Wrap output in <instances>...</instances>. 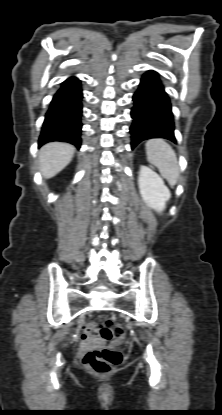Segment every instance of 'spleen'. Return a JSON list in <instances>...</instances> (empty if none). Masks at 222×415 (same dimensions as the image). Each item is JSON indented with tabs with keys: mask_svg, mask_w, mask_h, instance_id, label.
I'll use <instances>...</instances> for the list:
<instances>
[{
	"mask_svg": "<svg viewBox=\"0 0 222 415\" xmlns=\"http://www.w3.org/2000/svg\"><path fill=\"white\" fill-rule=\"evenodd\" d=\"M149 163L156 166L170 186H175L180 174L175 151L163 139H150L145 144Z\"/></svg>",
	"mask_w": 222,
	"mask_h": 415,
	"instance_id": "3e777b00",
	"label": "spleen"
}]
</instances>
